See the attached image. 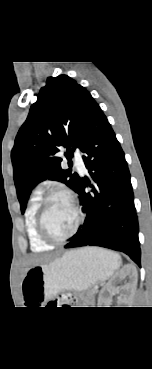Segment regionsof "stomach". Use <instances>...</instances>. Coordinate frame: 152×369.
<instances>
[{
    "label": "stomach",
    "instance_id": "1",
    "mask_svg": "<svg viewBox=\"0 0 152 369\" xmlns=\"http://www.w3.org/2000/svg\"><path fill=\"white\" fill-rule=\"evenodd\" d=\"M120 266L118 254L100 248L66 252L50 263L30 267L22 280L27 305L39 304L65 290L84 291L109 278Z\"/></svg>",
    "mask_w": 152,
    "mask_h": 369
}]
</instances>
